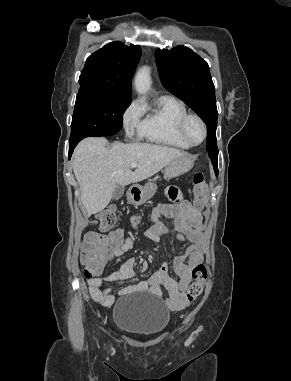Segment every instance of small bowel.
Instances as JSON below:
<instances>
[{
  "label": "small bowel",
  "mask_w": 291,
  "mask_h": 381,
  "mask_svg": "<svg viewBox=\"0 0 291 381\" xmlns=\"http://www.w3.org/2000/svg\"><path fill=\"white\" fill-rule=\"evenodd\" d=\"M175 192H172L174 195ZM198 209L189 202L178 204H159L153 213L154 224L147 230L145 237L153 242H160L164 234L173 232L181 241H186L188 246L184 254L173 260V269L178 280L169 274L170 264L165 262L150 278L129 285L121 290V294L149 291L155 296H162V288L168 292L166 305L171 311H178L189 305L186 290L192 281V269L203 261L204 239L196 227L194 220ZM163 218L174 221V227H169ZM135 246L134 237H124V230L117 228L108 234L90 231L84 235L83 248L102 250L107 258L119 257ZM135 260L127 259L121 267L105 277H93L87 280L91 297L102 306H111L114 297L110 289L103 288V282H118L132 279Z\"/></svg>",
  "instance_id": "1"
}]
</instances>
